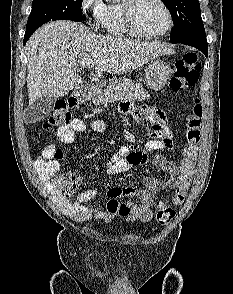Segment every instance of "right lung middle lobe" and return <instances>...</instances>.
Here are the masks:
<instances>
[{"instance_id": "obj_1", "label": "right lung middle lobe", "mask_w": 233, "mask_h": 294, "mask_svg": "<svg viewBox=\"0 0 233 294\" xmlns=\"http://www.w3.org/2000/svg\"><path fill=\"white\" fill-rule=\"evenodd\" d=\"M82 0H33L26 32L33 33L38 27L53 20L82 21Z\"/></svg>"}]
</instances>
